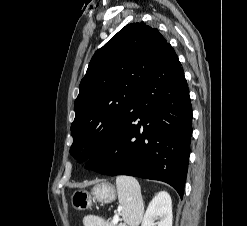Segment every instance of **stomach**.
Instances as JSON below:
<instances>
[{"mask_svg": "<svg viewBox=\"0 0 247 226\" xmlns=\"http://www.w3.org/2000/svg\"><path fill=\"white\" fill-rule=\"evenodd\" d=\"M116 191L113 185L102 182L92 188L91 193L86 190H76L71 196V204L74 209L84 211L91 208L93 201L110 203L115 200Z\"/></svg>", "mask_w": 247, "mask_h": 226, "instance_id": "1", "label": "stomach"}]
</instances>
